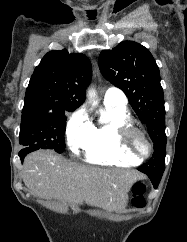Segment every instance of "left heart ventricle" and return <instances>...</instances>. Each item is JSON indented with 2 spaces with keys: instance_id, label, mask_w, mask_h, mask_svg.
Listing matches in <instances>:
<instances>
[{
  "instance_id": "left-heart-ventricle-1",
  "label": "left heart ventricle",
  "mask_w": 187,
  "mask_h": 242,
  "mask_svg": "<svg viewBox=\"0 0 187 242\" xmlns=\"http://www.w3.org/2000/svg\"><path fill=\"white\" fill-rule=\"evenodd\" d=\"M130 145L133 151L138 155H145L148 151V146L145 140L139 135L132 136L130 139Z\"/></svg>"
}]
</instances>
